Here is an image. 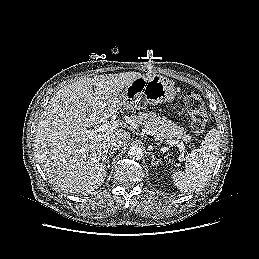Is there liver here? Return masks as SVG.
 <instances>
[{"mask_svg":"<svg viewBox=\"0 0 259 259\" xmlns=\"http://www.w3.org/2000/svg\"><path fill=\"white\" fill-rule=\"evenodd\" d=\"M140 76L138 72H126L82 78L52 97L39 119L34 146L53 184L75 194L90 193L102 185L108 140L119 138L126 145L130 133L123 129L122 122L92 138L87 128L126 109L119 92Z\"/></svg>","mask_w":259,"mask_h":259,"instance_id":"liver-1","label":"liver"}]
</instances>
